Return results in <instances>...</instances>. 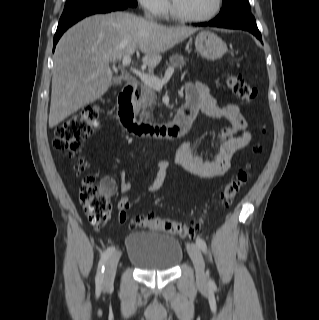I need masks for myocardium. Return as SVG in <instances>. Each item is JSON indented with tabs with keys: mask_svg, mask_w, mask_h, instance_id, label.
<instances>
[{
	"mask_svg": "<svg viewBox=\"0 0 319 320\" xmlns=\"http://www.w3.org/2000/svg\"><path fill=\"white\" fill-rule=\"evenodd\" d=\"M222 4H223V0H215L214 9L209 14L204 16H198V17L185 16L178 13L172 1L170 2L169 11H170V16L176 21L184 22V23H203V22H208L217 16L222 8Z\"/></svg>",
	"mask_w": 319,
	"mask_h": 320,
	"instance_id": "obj_1",
	"label": "myocardium"
}]
</instances>
